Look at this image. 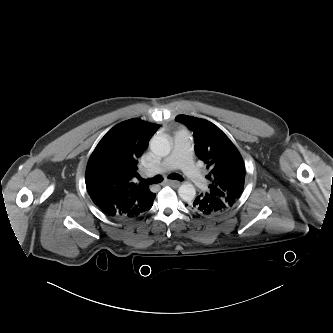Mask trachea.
<instances>
[{
    "instance_id": "obj_1",
    "label": "trachea",
    "mask_w": 333,
    "mask_h": 333,
    "mask_svg": "<svg viewBox=\"0 0 333 333\" xmlns=\"http://www.w3.org/2000/svg\"><path fill=\"white\" fill-rule=\"evenodd\" d=\"M168 179H172V180H178V181H183V177L179 174H176V173H172L168 176ZM139 180L144 183V184H148V185H151V184H157V183H160L163 181V177L160 176V175H157L151 179H142V178H139Z\"/></svg>"
}]
</instances>
